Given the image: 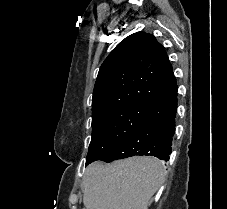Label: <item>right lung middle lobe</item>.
Instances as JSON below:
<instances>
[{
	"label": "right lung middle lobe",
	"instance_id": "dd1d6c3e",
	"mask_svg": "<svg viewBox=\"0 0 227 209\" xmlns=\"http://www.w3.org/2000/svg\"><path fill=\"white\" fill-rule=\"evenodd\" d=\"M102 111L92 117V139L86 165L103 159L144 121L149 105L128 98L103 102Z\"/></svg>",
	"mask_w": 227,
	"mask_h": 209
}]
</instances>
